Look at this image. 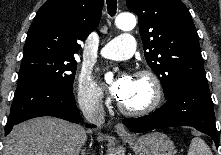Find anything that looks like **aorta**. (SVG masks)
Wrapping results in <instances>:
<instances>
[{
  "label": "aorta",
  "mask_w": 221,
  "mask_h": 155,
  "mask_svg": "<svg viewBox=\"0 0 221 155\" xmlns=\"http://www.w3.org/2000/svg\"><path fill=\"white\" fill-rule=\"evenodd\" d=\"M116 26L123 31H130L136 26V19L131 14H120L117 16L115 20ZM113 78V74L108 72L105 75L106 81H111Z\"/></svg>",
  "instance_id": "obj_1"
}]
</instances>
